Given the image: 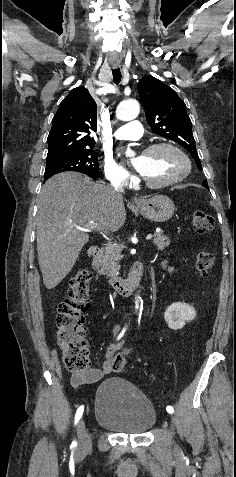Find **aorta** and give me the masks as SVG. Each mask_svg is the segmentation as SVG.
<instances>
[{"mask_svg": "<svg viewBox=\"0 0 236 477\" xmlns=\"http://www.w3.org/2000/svg\"><path fill=\"white\" fill-rule=\"evenodd\" d=\"M140 112V105L136 100L130 99L122 101L117 109H116V116L118 119L123 121H130L135 119ZM128 155H131L132 152L130 150L127 151ZM139 300L136 299V309L139 307L138 304Z\"/></svg>", "mask_w": 236, "mask_h": 477, "instance_id": "762f6f07", "label": "aorta"}]
</instances>
